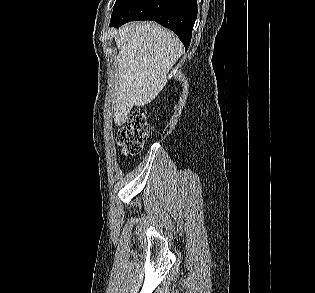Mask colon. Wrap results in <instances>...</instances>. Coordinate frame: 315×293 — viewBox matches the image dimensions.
<instances>
[{"instance_id": "obj_1", "label": "colon", "mask_w": 315, "mask_h": 293, "mask_svg": "<svg viewBox=\"0 0 315 293\" xmlns=\"http://www.w3.org/2000/svg\"><path fill=\"white\" fill-rule=\"evenodd\" d=\"M150 133L151 127L146 120L145 112L141 109L133 111L118 135L123 152L128 155L140 153Z\"/></svg>"}]
</instances>
